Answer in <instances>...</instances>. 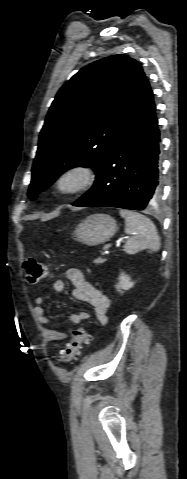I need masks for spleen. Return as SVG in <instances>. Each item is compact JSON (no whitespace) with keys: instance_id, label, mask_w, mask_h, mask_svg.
Listing matches in <instances>:
<instances>
[{"instance_id":"3e777b00","label":"spleen","mask_w":187,"mask_h":479,"mask_svg":"<svg viewBox=\"0 0 187 479\" xmlns=\"http://www.w3.org/2000/svg\"><path fill=\"white\" fill-rule=\"evenodd\" d=\"M120 215L125 219V232L131 235L124 245V252L133 255L145 249L159 251L160 238L148 217L130 210H120Z\"/></svg>"}]
</instances>
